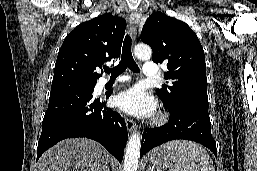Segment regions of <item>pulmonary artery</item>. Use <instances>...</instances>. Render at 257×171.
Segmentation results:
<instances>
[{"label": "pulmonary artery", "instance_id": "e3ab8cb5", "mask_svg": "<svg viewBox=\"0 0 257 171\" xmlns=\"http://www.w3.org/2000/svg\"><path fill=\"white\" fill-rule=\"evenodd\" d=\"M158 69H157V64L154 62H146L143 66V75L146 77H154L157 75ZM129 77L123 76L119 77L116 82H124L127 81ZM108 80H104L103 83H107Z\"/></svg>", "mask_w": 257, "mask_h": 171}]
</instances>
